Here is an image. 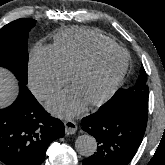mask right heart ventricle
I'll return each mask as SVG.
<instances>
[{
    "instance_id": "e07e8e85",
    "label": "right heart ventricle",
    "mask_w": 165,
    "mask_h": 165,
    "mask_svg": "<svg viewBox=\"0 0 165 165\" xmlns=\"http://www.w3.org/2000/svg\"><path fill=\"white\" fill-rule=\"evenodd\" d=\"M116 43L95 29L70 28L58 33L51 49L62 67L70 75L73 68L93 49Z\"/></svg>"
}]
</instances>
